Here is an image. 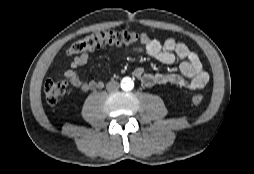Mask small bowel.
<instances>
[{
	"mask_svg": "<svg viewBox=\"0 0 254 174\" xmlns=\"http://www.w3.org/2000/svg\"><path fill=\"white\" fill-rule=\"evenodd\" d=\"M140 43L141 46L135 50L145 53L160 63L172 65L180 60L178 70L172 73H150L141 67L135 68L133 74L144 86L172 84L186 89L198 90L207 85L208 73L203 68L198 55L186 44L172 38L161 42L145 32L140 34ZM88 60L87 53L77 55L73 58L70 69L65 71V76L71 84L82 91L99 89L103 86L101 81H85L78 74L77 69L84 66Z\"/></svg>",
	"mask_w": 254,
	"mask_h": 174,
	"instance_id": "1",
	"label": "small bowel"
}]
</instances>
